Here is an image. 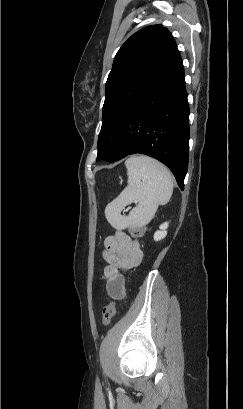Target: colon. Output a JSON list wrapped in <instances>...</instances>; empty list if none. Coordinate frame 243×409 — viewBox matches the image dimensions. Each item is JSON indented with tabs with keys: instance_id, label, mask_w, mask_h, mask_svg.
Returning a JSON list of instances; mask_svg holds the SVG:
<instances>
[{
	"instance_id": "obj_1",
	"label": "colon",
	"mask_w": 243,
	"mask_h": 409,
	"mask_svg": "<svg viewBox=\"0 0 243 409\" xmlns=\"http://www.w3.org/2000/svg\"><path fill=\"white\" fill-rule=\"evenodd\" d=\"M142 234H143V229L142 228H138V229L133 231L134 236L140 237V236H142ZM115 313H116L115 303H110V304L106 305L103 308L102 323H103L104 326L110 325V323L112 322V320H113V318L115 316Z\"/></svg>"
}]
</instances>
